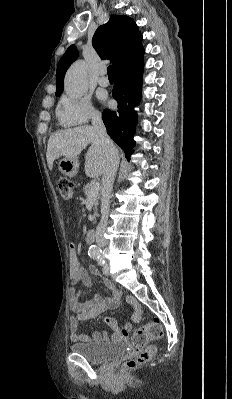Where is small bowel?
<instances>
[{"mask_svg":"<svg viewBox=\"0 0 232 399\" xmlns=\"http://www.w3.org/2000/svg\"><path fill=\"white\" fill-rule=\"evenodd\" d=\"M100 271L96 267H92L89 272H86L78 264V250L74 243L69 246V340L73 343H85L86 337L79 332L81 322L87 319L97 317L104 308H115L119 303V296L113 298H101L99 295L94 294L85 301H79L80 283H89L92 277L99 276ZM102 283L104 287L111 288V282L108 278H103ZM127 302L133 308V320L138 323L142 319V309L138 305L136 298L132 295L126 297ZM112 329V337L118 338L122 334L132 331L133 326L130 324L121 325L115 320L109 319L107 321ZM95 339L100 338L99 332H94Z\"/></svg>","mask_w":232,"mask_h":399,"instance_id":"1","label":"small bowel"}]
</instances>
